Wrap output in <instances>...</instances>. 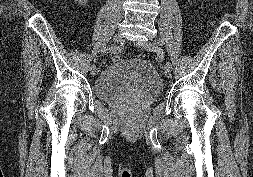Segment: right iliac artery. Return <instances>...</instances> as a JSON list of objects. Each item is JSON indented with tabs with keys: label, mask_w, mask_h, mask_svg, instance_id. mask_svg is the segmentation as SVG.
<instances>
[{
	"label": "right iliac artery",
	"mask_w": 253,
	"mask_h": 177,
	"mask_svg": "<svg viewBox=\"0 0 253 177\" xmlns=\"http://www.w3.org/2000/svg\"><path fill=\"white\" fill-rule=\"evenodd\" d=\"M122 50V47L121 46H107V47H104L101 52L102 53H110V54H115V53H118ZM99 63V60L97 59V54L96 53H93L92 54V63L90 64V67L92 70H95L96 67H97V64Z\"/></svg>",
	"instance_id": "1"
}]
</instances>
